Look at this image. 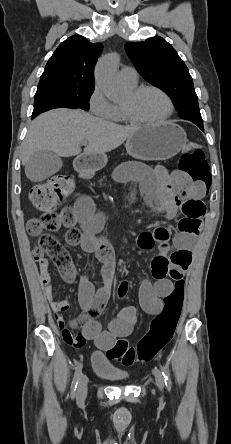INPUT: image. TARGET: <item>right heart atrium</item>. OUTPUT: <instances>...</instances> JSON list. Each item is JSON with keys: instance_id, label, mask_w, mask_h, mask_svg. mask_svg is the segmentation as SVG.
<instances>
[{"instance_id": "obj_1", "label": "right heart atrium", "mask_w": 231, "mask_h": 444, "mask_svg": "<svg viewBox=\"0 0 231 444\" xmlns=\"http://www.w3.org/2000/svg\"><path fill=\"white\" fill-rule=\"evenodd\" d=\"M89 108L94 115L105 119H111L115 112V105L98 85L94 87L90 94Z\"/></svg>"}]
</instances>
